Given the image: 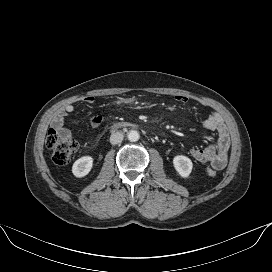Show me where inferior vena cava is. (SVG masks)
<instances>
[{
	"mask_svg": "<svg viewBox=\"0 0 272 272\" xmlns=\"http://www.w3.org/2000/svg\"><path fill=\"white\" fill-rule=\"evenodd\" d=\"M123 133L121 132H114L110 136V143L115 145L120 143L123 140Z\"/></svg>",
	"mask_w": 272,
	"mask_h": 272,
	"instance_id": "1",
	"label": "inferior vena cava"
}]
</instances>
